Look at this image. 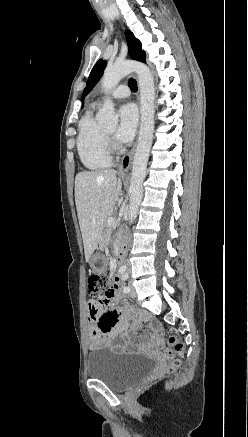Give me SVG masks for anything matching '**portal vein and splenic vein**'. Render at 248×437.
<instances>
[{
	"mask_svg": "<svg viewBox=\"0 0 248 437\" xmlns=\"http://www.w3.org/2000/svg\"><path fill=\"white\" fill-rule=\"evenodd\" d=\"M115 224H116V219L115 218L108 219V225L109 226H114Z\"/></svg>",
	"mask_w": 248,
	"mask_h": 437,
	"instance_id": "portal-vein-and-splenic-vein-1",
	"label": "portal vein and splenic vein"
}]
</instances>
